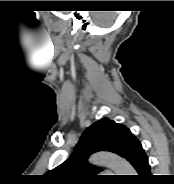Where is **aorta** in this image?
<instances>
[{
	"label": "aorta",
	"mask_w": 174,
	"mask_h": 184,
	"mask_svg": "<svg viewBox=\"0 0 174 184\" xmlns=\"http://www.w3.org/2000/svg\"><path fill=\"white\" fill-rule=\"evenodd\" d=\"M90 162L95 165H103L113 170L117 175H134L135 170L124 158L110 153L98 152L90 157Z\"/></svg>",
	"instance_id": "762f6f07"
}]
</instances>
